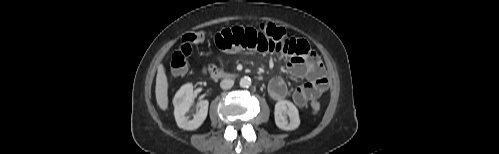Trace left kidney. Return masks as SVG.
Listing matches in <instances>:
<instances>
[{
    "label": "left kidney",
    "instance_id": "1",
    "mask_svg": "<svg viewBox=\"0 0 499 154\" xmlns=\"http://www.w3.org/2000/svg\"><path fill=\"white\" fill-rule=\"evenodd\" d=\"M274 117L276 126L282 130H295L300 125L298 109L287 100H281L275 104Z\"/></svg>",
    "mask_w": 499,
    "mask_h": 154
}]
</instances>
